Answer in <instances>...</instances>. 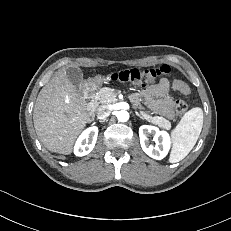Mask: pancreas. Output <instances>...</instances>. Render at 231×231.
<instances>
[{
	"mask_svg": "<svg viewBox=\"0 0 231 231\" xmlns=\"http://www.w3.org/2000/svg\"><path fill=\"white\" fill-rule=\"evenodd\" d=\"M94 99L99 104H107L116 102V92L112 88L104 87L101 88L95 95ZM144 119L151 122L152 124L158 125L161 128L169 129L171 127L170 121L160 116H150L147 112L141 111Z\"/></svg>",
	"mask_w": 231,
	"mask_h": 231,
	"instance_id": "obj_1",
	"label": "pancreas"
}]
</instances>
